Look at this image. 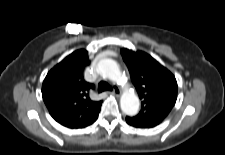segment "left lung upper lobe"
Returning <instances> with one entry per match:
<instances>
[{"label": "left lung upper lobe", "instance_id": "left-lung-upper-lobe-1", "mask_svg": "<svg viewBox=\"0 0 225 155\" xmlns=\"http://www.w3.org/2000/svg\"><path fill=\"white\" fill-rule=\"evenodd\" d=\"M121 55L142 100L141 111L131 118L136 127H155L167 117L175 105L176 79L169 70L144 52H133L124 48Z\"/></svg>", "mask_w": 225, "mask_h": 155}]
</instances>
